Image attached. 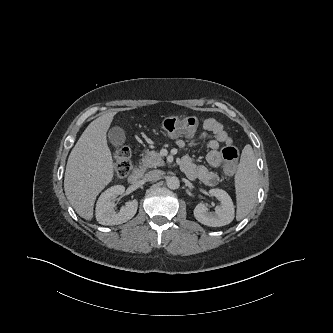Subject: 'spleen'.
<instances>
[{"label": "spleen", "mask_w": 333, "mask_h": 333, "mask_svg": "<svg viewBox=\"0 0 333 333\" xmlns=\"http://www.w3.org/2000/svg\"><path fill=\"white\" fill-rule=\"evenodd\" d=\"M237 220L243 219L254 207L258 191V170L253 149L246 145L235 174Z\"/></svg>", "instance_id": "spleen-1"}]
</instances>
